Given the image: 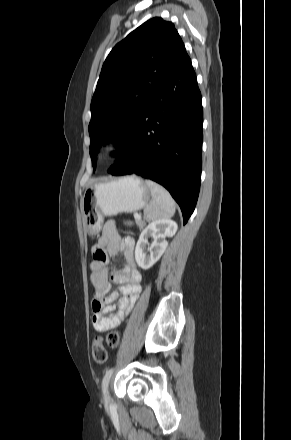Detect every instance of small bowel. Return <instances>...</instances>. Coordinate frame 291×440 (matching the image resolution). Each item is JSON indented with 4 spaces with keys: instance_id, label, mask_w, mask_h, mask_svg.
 <instances>
[{
    "instance_id": "obj_1",
    "label": "small bowel",
    "mask_w": 291,
    "mask_h": 440,
    "mask_svg": "<svg viewBox=\"0 0 291 440\" xmlns=\"http://www.w3.org/2000/svg\"><path fill=\"white\" fill-rule=\"evenodd\" d=\"M135 240L131 236L121 238L113 223L104 226L103 233L91 250L90 281L94 289L92 322L100 332L118 327L127 318L141 291V275L134 262ZM123 256V265L109 273L105 266L108 256ZM111 280L119 284L109 293ZM118 299L117 305H113Z\"/></svg>"
}]
</instances>
